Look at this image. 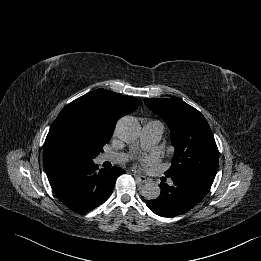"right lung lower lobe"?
Wrapping results in <instances>:
<instances>
[{
	"mask_svg": "<svg viewBox=\"0 0 261 261\" xmlns=\"http://www.w3.org/2000/svg\"><path fill=\"white\" fill-rule=\"evenodd\" d=\"M125 170H98L94 162L63 167L47 174L57 198L73 211L83 213L104 203L118 176Z\"/></svg>",
	"mask_w": 261,
	"mask_h": 261,
	"instance_id": "98d812e1",
	"label": "right lung lower lobe"
}]
</instances>
